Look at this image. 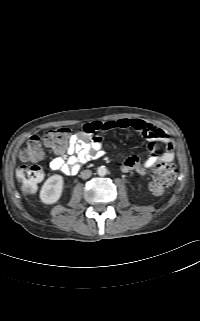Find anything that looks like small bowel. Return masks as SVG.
Instances as JSON below:
<instances>
[{
	"label": "small bowel",
	"mask_w": 200,
	"mask_h": 321,
	"mask_svg": "<svg viewBox=\"0 0 200 321\" xmlns=\"http://www.w3.org/2000/svg\"><path fill=\"white\" fill-rule=\"evenodd\" d=\"M115 129L126 130L130 133H140L151 142L147 156L143 161L137 156H129L124 160L122 170L126 173H136L137 175L143 176L149 168H152L168 154L173 155L171 139L163 129L141 119L120 118L109 121H93L84 124L80 131L70 136L64 149H54L57 156L51 160L49 164L50 168L53 171H58L65 175L76 174L81 164L102 155L101 139L96 136L95 133ZM158 142L166 146V151L162 156L156 153V143Z\"/></svg>",
	"instance_id": "obj_1"
}]
</instances>
